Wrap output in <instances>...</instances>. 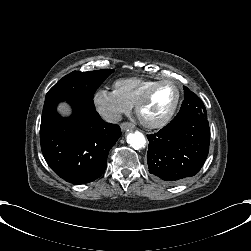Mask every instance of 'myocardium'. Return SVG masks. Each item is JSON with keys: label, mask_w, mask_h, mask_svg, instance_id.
Listing matches in <instances>:
<instances>
[{"label": "myocardium", "mask_w": 251, "mask_h": 251, "mask_svg": "<svg viewBox=\"0 0 251 251\" xmlns=\"http://www.w3.org/2000/svg\"><path fill=\"white\" fill-rule=\"evenodd\" d=\"M163 82H174L177 84L178 89H179V97H178L177 103L174 106V108L162 120L157 121V122L147 121L142 116V111H143L145 105L147 104V102L149 101L154 90ZM184 94H185V86L183 83L177 82L174 79L168 78V77L157 79L156 81H154L151 85H149L147 87V89L145 90V92L143 93V95L140 97V99L138 100V102L135 105V111H136V115H137L139 121L141 122V124L144 127L148 128V129H157V128H161V127L166 126L167 124H169L171 122V120L174 118V116L179 111V109L183 103V100H184Z\"/></svg>", "instance_id": "myocardium-1"}]
</instances>
